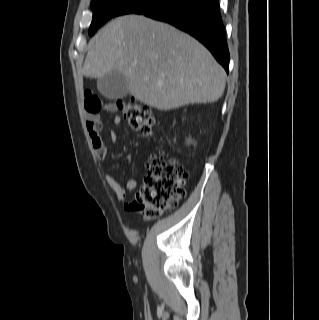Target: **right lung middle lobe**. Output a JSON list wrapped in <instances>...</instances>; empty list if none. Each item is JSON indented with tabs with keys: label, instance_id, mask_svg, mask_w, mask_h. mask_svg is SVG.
Listing matches in <instances>:
<instances>
[{
	"label": "right lung middle lobe",
	"instance_id": "1",
	"mask_svg": "<svg viewBox=\"0 0 319 320\" xmlns=\"http://www.w3.org/2000/svg\"><path fill=\"white\" fill-rule=\"evenodd\" d=\"M164 1L166 0H92L93 19L88 33L90 36L95 34L96 30L112 17L138 13Z\"/></svg>",
	"mask_w": 319,
	"mask_h": 320
}]
</instances>
